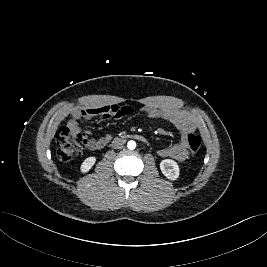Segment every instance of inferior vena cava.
Returning <instances> with one entry per match:
<instances>
[{"label": "inferior vena cava", "instance_id": "1", "mask_svg": "<svg viewBox=\"0 0 267 267\" xmlns=\"http://www.w3.org/2000/svg\"><path fill=\"white\" fill-rule=\"evenodd\" d=\"M125 143L126 141L124 139L117 138L112 142V147L114 149H120L124 146Z\"/></svg>", "mask_w": 267, "mask_h": 267}]
</instances>
